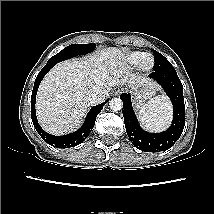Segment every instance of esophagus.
Wrapping results in <instances>:
<instances>
[{
	"label": "esophagus",
	"instance_id": "34e87169",
	"mask_svg": "<svg viewBox=\"0 0 214 214\" xmlns=\"http://www.w3.org/2000/svg\"><path fill=\"white\" fill-rule=\"evenodd\" d=\"M120 92H121V89H120V88H116V89L113 91V93H114L115 96L119 95Z\"/></svg>",
	"mask_w": 214,
	"mask_h": 214
}]
</instances>
